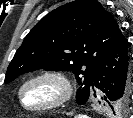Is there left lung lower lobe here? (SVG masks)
Returning <instances> with one entry per match:
<instances>
[{
    "mask_svg": "<svg viewBox=\"0 0 133 118\" xmlns=\"http://www.w3.org/2000/svg\"><path fill=\"white\" fill-rule=\"evenodd\" d=\"M96 88L102 92L101 99L110 102L131 95L130 54L127 40L121 31L93 71L89 98L96 97ZM120 113H124V110Z\"/></svg>",
    "mask_w": 133,
    "mask_h": 118,
    "instance_id": "1",
    "label": "left lung lower lobe"
}]
</instances>
